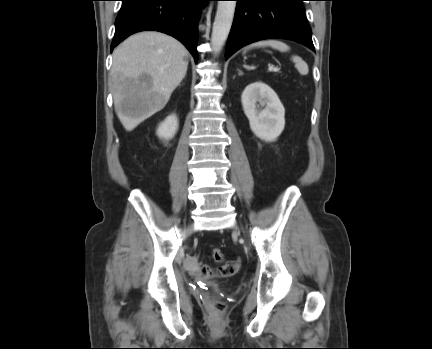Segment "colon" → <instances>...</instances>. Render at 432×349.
<instances>
[{
    "label": "colon",
    "instance_id": "5ec220e1",
    "mask_svg": "<svg viewBox=\"0 0 432 349\" xmlns=\"http://www.w3.org/2000/svg\"><path fill=\"white\" fill-rule=\"evenodd\" d=\"M212 257H213V259H214L216 262H218V263H221V262H223V260H224L223 252H222L220 249H218V248H214V249L212 250ZM215 307H216L218 310H221V309L223 308V303L220 302V301H218V302L215 303Z\"/></svg>",
    "mask_w": 432,
    "mask_h": 349
}]
</instances>
